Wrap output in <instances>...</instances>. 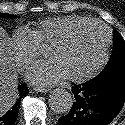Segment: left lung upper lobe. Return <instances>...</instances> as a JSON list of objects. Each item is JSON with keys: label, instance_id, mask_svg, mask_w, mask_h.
Returning a JSON list of instances; mask_svg holds the SVG:
<instances>
[{"label": "left lung upper lobe", "instance_id": "left-lung-upper-lobe-1", "mask_svg": "<svg viewBox=\"0 0 125 125\" xmlns=\"http://www.w3.org/2000/svg\"><path fill=\"white\" fill-rule=\"evenodd\" d=\"M113 35L114 45L110 59L102 72L95 78L91 79L92 81H98L125 70V41L117 31H114Z\"/></svg>", "mask_w": 125, "mask_h": 125}]
</instances>
